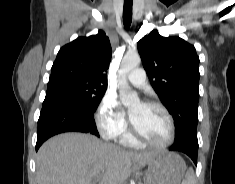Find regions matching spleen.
Instances as JSON below:
<instances>
[{"mask_svg":"<svg viewBox=\"0 0 235 184\" xmlns=\"http://www.w3.org/2000/svg\"><path fill=\"white\" fill-rule=\"evenodd\" d=\"M195 174L193 168H189L186 172L185 180H183L182 184H195Z\"/></svg>","mask_w":235,"mask_h":184,"instance_id":"obj_1","label":"spleen"}]
</instances>
